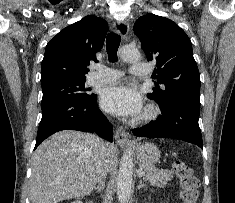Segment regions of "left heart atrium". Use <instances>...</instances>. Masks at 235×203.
<instances>
[{
  "instance_id": "left-heart-atrium-1",
  "label": "left heart atrium",
  "mask_w": 235,
  "mask_h": 203,
  "mask_svg": "<svg viewBox=\"0 0 235 203\" xmlns=\"http://www.w3.org/2000/svg\"><path fill=\"white\" fill-rule=\"evenodd\" d=\"M102 108L114 115L137 117L142 111V99L137 91L127 86L107 88L101 95Z\"/></svg>"
}]
</instances>
